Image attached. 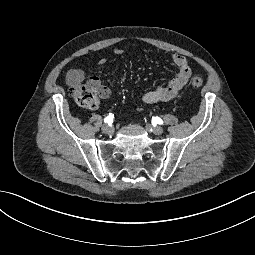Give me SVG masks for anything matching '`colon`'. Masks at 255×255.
<instances>
[{
  "mask_svg": "<svg viewBox=\"0 0 255 255\" xmlns=\"http://www.w3.org/2000/svg\"><path fill=\"white\" fill-rule=\"evenodd\" d=\"M194 89H199L204 85V81L200 77H194L191 81ZM70 96L82 108L92 109L98 103V98L95 90L89 85H80L71 87L69 90Z\"/></svg>",
  "mask_w": 255,
  "mask_h": 255,
  "instance_id": "1",
  "label": "colon"
}]
</instances>
